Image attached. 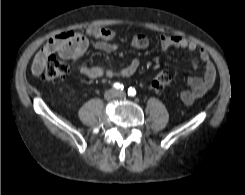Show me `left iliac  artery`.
Masks as SVG:
<instances>
[{
    "label": "left iliac artery",
    "instance_id": "obj_1",
    "mask_svg": "<svg viewBox=\"0 0 245 195\" xmlns=\"http://www.w3.org/2000/svg\"><path fill=\"white\" fill-rule=\"evenodd\" d=\"M128 95L129 96H135L136 95V90L132 87L128 89Z\"/></svg>",
    "mask_w": 245,
    "mask_h": 195
}]
</instances>
